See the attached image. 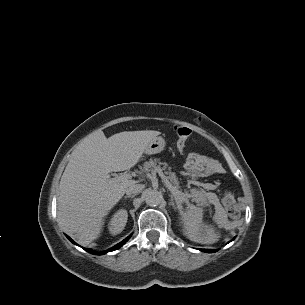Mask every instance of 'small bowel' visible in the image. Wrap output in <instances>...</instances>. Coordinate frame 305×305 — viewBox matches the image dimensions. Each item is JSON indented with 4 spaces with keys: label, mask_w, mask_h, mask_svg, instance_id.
I'll list each match as a JSON object with an SVG mask.
<instances>
[{
    "label": "small bowel",
    "mask_w": 305,
    "mask_h": 305,
    "mask_svg": "<svg viewBox=\"0 0 305 305\" xmlns=\"http://www.w3.org/2000/svg\"><path fill=\"white\" fill-rule=\"evenodd\" d=\"M181 150H183V149H181ZM205 164L211 171H214L216 169V166H215L214 162H212V161H205Z\"/></svg>",
    "instance_id": "small-bowel-1"
}]
</instances>
